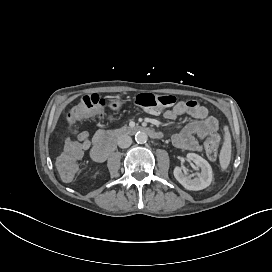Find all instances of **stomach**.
I'll list each match as a JSON object with an SVG mask.
<instances>
[{
    "label": "stomach",
    "instance_id": "obj_1",
    "mask_svg": "<svg viewBox=\"0 0 272 272\" xmlns=\"http://www.w3.org/2000/svg\"><path fill=\"white\" fill-rule=\"evenodd\" d=\"M118 105H119L118 99H116V102H114V103L112 104V107H113V108H117Z\"/></svg>",
    "mask_w": 272,
    "mask_h": 272
}]
</instances>
